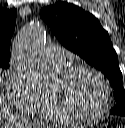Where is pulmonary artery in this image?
I'll list each match as a JSON object with an SVG mask.
<instances>
[{
    "instance_id": "obj_1",
    "label": "pulmonary artery",
    "mask_w": 125,
    "mask_h": 128,
    "mask_svg": "<svg viewBox=\"0 0 125 128\" xmlns=\"http://www.w3.org/2000/svg\"><path fill=\"white\" fill-rule=\"evenodd\" d=\"M48 64L56 69H62L65 65L67 52L59 46H48L44 53Z\"/></svg>"
}]
</instances>
